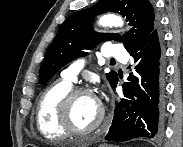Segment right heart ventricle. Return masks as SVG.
<instances>
[{"label": "right heart ventricle", "mask_w": 183, "mask_h": 147, "mask_svg": "<svg viewBox=\"0 0 183 147\" xmlns=\"http://www.w3.org/2000/svg\"><path fill=\"white\" fill-rule=\"evenodd\" d=\"M71 88V82L60 80L49 85L42 93L36 109V123L45 138L56 140L68 135L59 124L57 108L60 100Z\"/></svg>", "instance_id": "e07e8e85"}]
</instances>
